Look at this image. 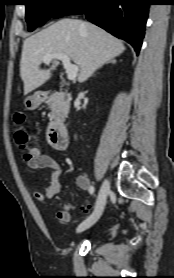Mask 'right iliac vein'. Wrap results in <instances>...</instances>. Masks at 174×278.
Wrapping results in <instances>:
<instances>
[{
	"instance_id": "right-iliac-vein-1",
	"label": "right iliac vein",
	"mask_w": 174,
	"mask_h": 278,
	"mask_svg": "<svg viewBox=\"0 0 174 278\" xmlns=\"http://www.w3.org/2000/svg\"><path fill=\"white\" fill-rule=\"evenodd\" d=\"M109 192H110V184H109L108 180H105L99 191L93 213L78 226L77 232H82V231L90 228L93 224H95L98 221V219L101 217V215L103 213L106 199H107Z\"/></svg>"
}]
</instances>
